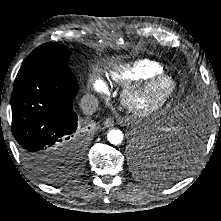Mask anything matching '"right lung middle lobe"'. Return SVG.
I'll return each mask as SVG.
<instances>
[{"mask_svg": "<svg viewBox=\"0 0 221 221\" xmlns=\"http://www.w3.org/2000/svg\"><path fill=\"white\" fill-rule=\"evenodd\" d=\"M70 54L71 51L64 45L51 42L40 45L23 63L16 76L14 88L36 75L69 69L67 63Z\"/></svg>", "mask_w": 221, "mask_h": 221, "instance_id": "right-lung-middle-lobe-1", "label": "right lung middle lobe"}]
</instances>
